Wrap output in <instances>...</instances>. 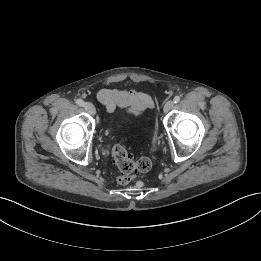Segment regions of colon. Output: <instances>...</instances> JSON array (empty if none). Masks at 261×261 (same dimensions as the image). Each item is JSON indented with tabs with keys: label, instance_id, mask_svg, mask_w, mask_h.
I'll return each instance as SVG.
<instances>
[{
	"label": "colon",
	"instance_id": "5ec220e1",
	"mask_svg": "<svg viewBox=\"0 0 261 261\" xmlns=\"http://www.w3.org/2000/svg\"><path fill=\"white\" fill-rule=\"evenodd\" d=\"M113 161L118 167L120 174L117 181L120 184L129 183L133 174L137 172H147L152 168V161L142 157L137 160L121 145H115L112 149Z\"/></svg>",
	"mask_w": 261,
	"mask_h": 261
}]
</instances>
